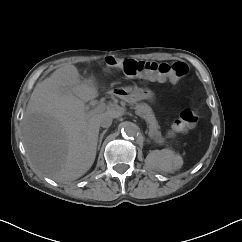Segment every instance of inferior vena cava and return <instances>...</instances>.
<instances>
[{
    "label": "inferior vena cava",
    "mask_w": 242,
    "mask_h": 242,
    "mask_svg": "<svg viewBox=\"0 0 242 242\" xmlns=\"http://www.w3.org/2000/svg\"><path fill=\"white\" fill-rule=\"evenodd\" d=\"M99 124L101 127L103 128H108L111 126L112 124V117L107 114V113H103L101 116H100V119H99Z\"/></svg>",
    "instance_id": "obj_1"
}]
</instances>
